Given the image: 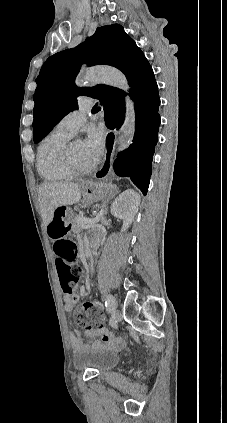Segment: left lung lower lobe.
Segmentation results:
<instances>
[{"label":"left lung lower lobe","instance_id":"obj_1","mask_svg":"<svg viewBox=\"0 0 227 423\" xmlns=\"http://www.w3.org/2000/svg\"><path fill=\"white\" fill-rule=\"evenodd\" d=\"M135 102L136 125L133 143L119 154L114 162L118 176L129 177L146 195L155 146L160 125L158 86L153 71L130 94ZM105 123L109 129L122 125L125 108L112 107L105 111Z\"/></svg>","mask_w":227,"mask_h":423}]
</instances>
